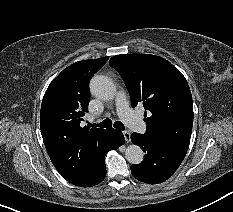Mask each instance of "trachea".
I'll list each match as a JSON object with an SVG mask.
<instances>
[{
	"instance_id": "trachea-1",
	"label": "trachea",
	"mask_w": 233,
	"mask_h": 212,
	"mask_svg": "<svg viewBox=\"0 0 233 212\" xmlns=\"http://www.w3.org/2000/svg\"><path fill=\"white\" fill-rule=\"evenodd\" d=\"M112 125L114 126V128H116L118 130L123 131L125 129L123 123H121L120 121H116L113 124L111 119H105L101 123L97 124V126H99L101 128H109V127H112Z\"/></svg>"
}]
</instances>
